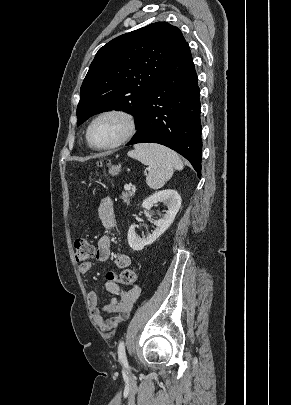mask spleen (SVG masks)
I'll use <instances>...</instances> for the list:
<instances>
[{"label": "spleen", "instance_id": "obj_1", "mask_svg": "<svg viewBox=\"0 0 291 405\" xmlns=\"http://www.w3.org/2000/svg\"><path fill=\"white\" fill-rule=\"evenodd\" d=\"M128 155L149 166L146 183L152 189L161 188L174 170H182L184 166L177 153L157 144L137 145Z\"/></svg>", "mask_w": 291, "mask_h": 405}]
</instances>
